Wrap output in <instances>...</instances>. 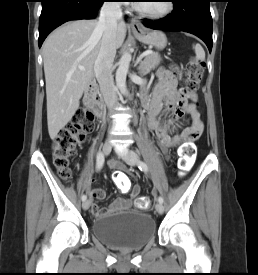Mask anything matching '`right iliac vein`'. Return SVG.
<instances>
[{
	"label": "right iliac vein",
	"instance_id": "obj_1",
	"mask_svg": "<svg viewBox=\"0 0 258 275\" xmlns=\"http://www.w3.org/2000/svg\"><path fill=\"white\" fill-rule=\"evenodd\" d=\"M102 150H103L104 155H108V154L111 152V143H110L109 141H106V142L103 144ZM90 204H91V201H90V200H85V201L82 203V208H83L84 210H87V209L90 207Z\"/></svg>",
	"mask_w": 258,
	"mask_h": 275
}]
</instances>
